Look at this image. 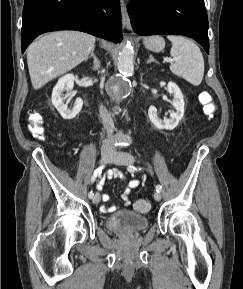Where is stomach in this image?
Wrapping results in <instances>:
<instances>
[{
  "label": "stomach",
  "instance_id": "stomach-1",
  "mask_svg": "<svg viewBox=\"0 0 243 289\" xmlns=\"http://www.w3.org/2000/svg\"><path fill=\"white\" fill-rule=\"evenodd\" d=\"M145 47L154 52H160L165 47V41L161 36H151L143 41Z\"/></svg>",
  "mask_w": 243,
  "mask_h": 289
}]
</instances>
